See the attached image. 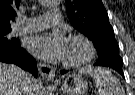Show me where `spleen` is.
Masks as SVG:
<instances>
[{
	"instance_id": "1",
	"label": "spleen",
	"mask_w": 135,
	"mask_h": 95,
	"mask_svg": "<svg viewBox=\"0 0 135 95\" xmlns=\"http://www.w3.org/2000/svg\"><path fill=\"white\" fill-rule=\"evenodd\" d=\"M79 73L90 75L93 78L97 87V95H125L121 83L109 70L87 66L81 68Z\"/></svg>"
}]
</instances>
